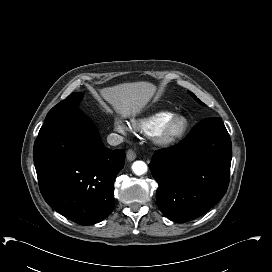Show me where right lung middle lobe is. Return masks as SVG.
<instances>
[{
  "label": "right lung middle lobe",
  "instance_id": "obj_1",
  "mask_svg": "<svg viewBox=\"0 0 272 272\" xmlns=\"http://www.w3.org/2000/svg\"><path fill=\"white\" fill-rule=\"evenodd\" d=\"M82 93H72L70 94L65 100L61 101L59 104L54 106L49 113L47 114L45 121L49 120L50 118L65 112H70L74 109H77V105L82 99Z\"/></svg>",
  "mask_w": 272,
  "mask_h": 272
}]
</instances>
